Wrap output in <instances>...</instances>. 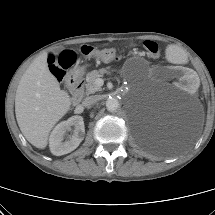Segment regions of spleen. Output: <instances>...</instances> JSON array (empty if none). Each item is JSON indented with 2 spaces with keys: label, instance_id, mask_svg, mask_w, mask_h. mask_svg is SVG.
Segmentation results:
<instances>
[{
  "label": "spleen",
  "instance_id": "obj_1",
  "mask_svg": "<svg viewBox=\"0 0 215 215\" xmlns=\"http://www.w3.org/2000/svg\"><path fill=\"white\" fill-rule=\"evenodd\" d=\"M167 59L173 63H180L184 61L185 52L181 48L175 46H169L166 51Z\"/></svg>",
  "mask_w": 215,
  "mask_h": 215
}]
</instances>
